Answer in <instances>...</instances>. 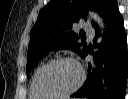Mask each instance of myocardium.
I'll use <instances>...</instances> for the list:
<instances>
[{"label": "myocardium", "instance_id": "f54148a6", "mask_svg": "<svg viewBox=\"0 0 128 99\" xmlns=\"http://www.w3.org/2000/svg\"><path fill=\"white\" fill-rule=\"evenodd\" d=\"M63 62H70V63L75 64L78 67L80 77H79V81L77 82V84L74 87H72L71 89H69L65 92H62V93L49 94V93H45V92L41 91L38 87V78H39L41 72L51 65L63 63ZM85 77H86L85 71H84L82 65L75 58H73V57H58V58L48 61L47 63L41 65L37 69V71L34 75V78H33V88H34V91L39 96L48 97V98H65V97H68V96L74 94L82 87V85L85 82Z\"/></svg>", "mask_w": 128, "mask_h": 99}]
</instances>
